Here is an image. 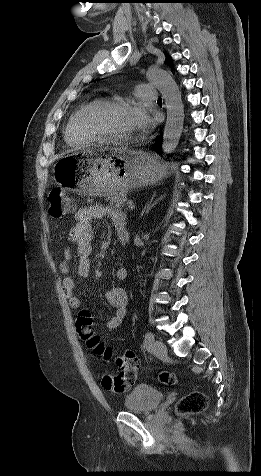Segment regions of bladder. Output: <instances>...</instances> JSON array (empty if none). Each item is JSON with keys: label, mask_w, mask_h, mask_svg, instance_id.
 <instances>
[{"label": "bladder", "mask_w": 261, "mask_h": 476, "mask_svg": "<svg viewBox=\"0 0 261 476\" xmlns=\"http://www.w3.org/2000/svg\"><path fill=\"white\" fill-rule=\"evenodd\" d=\"M163 400V393L146 384L134 386L125 396L124 407L126 410L138 413H150L158 408Z\"/></svg>", "instance_id": "31cf9c89"}]
</instances>
